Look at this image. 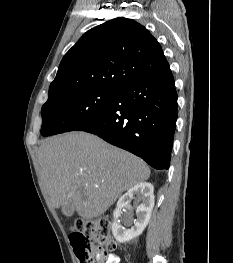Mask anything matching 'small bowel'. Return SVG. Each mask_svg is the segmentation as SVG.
<instances>
[{"mask_svg":"<svg viewBox=\"0 0 233 263\" xmlns=\"http://www.w3.org/2000/svg\"><path fill=\"white\" fill-rule=\"evenodd\" d=\"M105 263H120V258L115 254H109Z\"/></svg>","mask_w":233,"mask_h":263,"instance_id":"small-bowel-1","label":"small bowel"}]
</instances>
